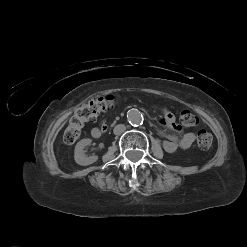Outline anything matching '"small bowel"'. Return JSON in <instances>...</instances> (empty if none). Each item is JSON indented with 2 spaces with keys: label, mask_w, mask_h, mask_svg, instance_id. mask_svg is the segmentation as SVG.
Listing matches in <instances>:
<instances>
[{
  "label": "small bowel",
  "mask_w": 247,
  "mask_h": 247,
  "mask_svg": "<svg viewBox=\"0 0 247 247\" xmlns=\"http://www.w3.org/2000/svg\"><path fill=\"white\" fill-rule=\"evenodd\" d=\"M163 125L166 130H161V133L166 138L163 142V148L168 153H173L178 149H188L195 140V134L192 132L182 133L179 126L175 122L174 115L168 111H163ZM107 130L106 123H103L100 127H94L91 129L90 133L94 138H98Z\"/></svg>",
  "instance_id": "obj_1"
}]
</instances>
